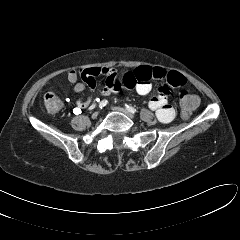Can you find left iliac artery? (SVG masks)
Segmentation results:
<instances>
[{"label":"left iliac artery","instance_id":"44dca946","mask_svg":"<svg viewBox=\"0 0 240 240\" xmlns=\"http://www.w3.org/2000/svg\"><path fill=\"white\" fill-rule=\"evenodd\" d=\"M125 108H126L127 111H129V112H131L133 114L137 112V110L134 107H132V106L125 105Z\"/></svg>","mask_w":240,"mask_h":240}]
</instances>
